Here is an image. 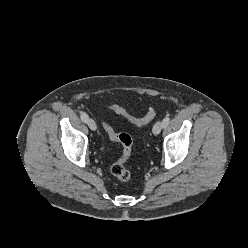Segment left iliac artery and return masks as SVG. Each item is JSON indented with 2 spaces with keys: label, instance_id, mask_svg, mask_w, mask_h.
Returning <instances> with one entry per match:
<instances>
[{
  "label": "left iliac artery",
  "instance_id": "left-iliac-artery-1",
  "mask_svg": "<svg viewBox=\"0 0 248 248\" xmlns=\"http://www.w3.org/2000/svg\"><path fill=\"white\" fill-rule=\"evenodd\" d=\"M169 123H170V117L166 116L162 121L163 128H166Z\"/></svg>",
  "mask_w": 248,
  "mask_h": 248
}]
</instances>
